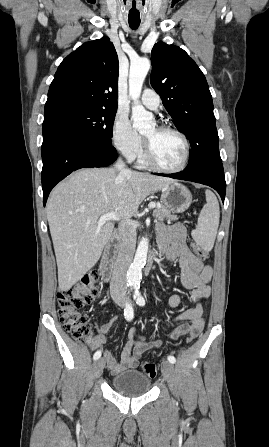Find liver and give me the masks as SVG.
<instances>
[{
    "label": "liver",
    "instance_id": "liver-1",
    "mask_svg": "<svg viewBox=\"0 0 269 447\" xmlns=\"http://www.w3.org/2000/svg\"><path fill=\"white\" fill-rule=\"evenodd\" d=\"M174 180L142 172L117 174L115 168H83L51 192L46 214L55 249L59 287L70 289L98 261L113 231L104 214L132 218L150 194Z\"/></svg>",
    "mask_w": 269,
    "mask_h": 447
}]
</instances>
